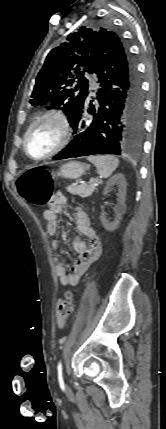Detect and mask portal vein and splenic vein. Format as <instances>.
<instances>
[{
  "label": "portal vein and splenic vein",
  "instance_id": "obj_1",
  "mask_svg": "<svg viewBox=\"0 0 166 429\" xmlns=\"http://www.w3.org/2000/svg\"><path fill=\"white\" fill-rule=\"evenodd\" d=\"M90 183L95 184L96 185V180L94 178L90 179Z\"/></svg>",
  "mask_w": 166,
  "mask_h": 429
}]
</instances>
